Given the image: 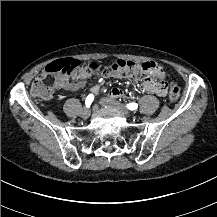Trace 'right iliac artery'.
Here are the masks:
<instances>
[{
    "label": "right iliac artery",
    "instance_id": "1",
    "mask_svg": "<svg viewBox=\"0 0 217 217\" xmlns=\"http://www.w3.org/2000/svg\"><path fill=\"white\" fill-rule=\"evenodd\" d=\"M94 100V95L93 94H89L86 98V101H85V105L87 108L90 107L91 103L93 102Z\"/></svg>",
    "mask_w": 217,
    "mask_h": 217
}]
</instances>
